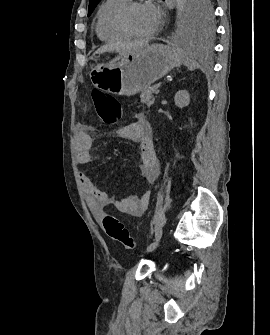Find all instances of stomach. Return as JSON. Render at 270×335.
<instances>
[{
	"label": "stomach",
	"mask_w": 270,
	"mask_h": 335,
	"mask_svg": "<svg viewBox=\"0 0 270 335\" xmlns=\"http://www.w3.org/2000/svg\"><path fill=\"white\" fill-rule=\"evenodd\" d=\"M183 52L175 46L152 44L146 48L120 54L111 66H96L90 78L92 84L116 96H134L150 88L153 82L166 76L183 62Z\"/></svg>",
	"instance_id": "1"
}]
</instances>
